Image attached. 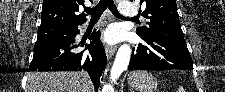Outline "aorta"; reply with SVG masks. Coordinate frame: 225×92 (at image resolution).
Returning a JSON list of instances; mask_svg holds the SVG:
<instances>
[{
  "mask_svg": "<svg viewBox=\"0 0 225 92\" xmlns=\"http://www.w3.org/2000/svg\"><path fill=\"white\" fill-rule=\"evenodd\" d=\"M131 57V48L128 44H123L117 51L115 61L113 63L110 78L116 80L128 67Z\"/></svg>",
  "mask_w": 225,
  "mask_h": 92,
  "instance_id": "1",
  "label": "aorta"
}]
</instances>
